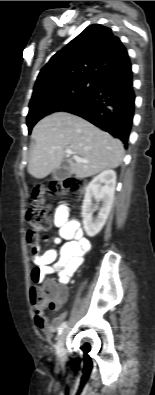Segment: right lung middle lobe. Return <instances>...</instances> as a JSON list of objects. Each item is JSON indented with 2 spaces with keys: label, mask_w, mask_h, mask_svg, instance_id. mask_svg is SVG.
Masks as SVG:
<instances>
[{
  "label": "right lung middle lobe",
  "mask_w": 155,
  "mask_h": 395,
  "mask_svg": "<svg viewBox=\"0 0 155 395\" xmlns=\"http://www.w3.org/2000/svg\"><path fill=\"white\" fill-rule=\"evenodd\" d=\"M100 81L79 79L49 86L32 95L27 115L29 133L46 115L61 111L94 92Z\"/></svg>",
  "instance_id": "obj_1"
}]
</instances>
